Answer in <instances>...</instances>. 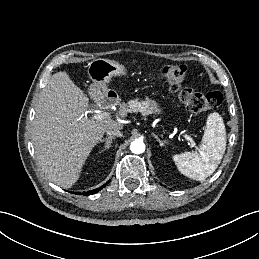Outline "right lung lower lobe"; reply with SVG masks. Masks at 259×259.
<instances>
[{"label":"right lung lower lobe","mask_w":259,"mask_h":259,"mask_svg":"<svg viewBox=\"0 0 259 259\" xmlns=\"http://www.w3.org/2000/svg\"><path fill=\"white\" fill-rule=\"evenodd\" d=\"M106 184H108V182H107ZM106 184H105V185H103V186H101V187H99V188H97V189H94V190H91V191L84 192V193H83V195L88 196V195L94 194V193H96V192L100 191L103 187H105V186H106ZM75 194H82V193H78V192H76Z\"/></svg>","instance_id":"obj_1"}]
</instances>
